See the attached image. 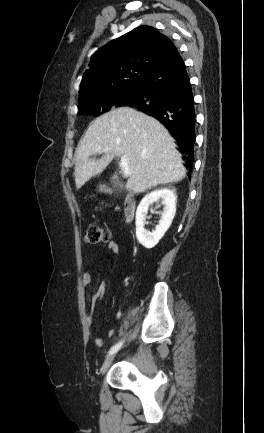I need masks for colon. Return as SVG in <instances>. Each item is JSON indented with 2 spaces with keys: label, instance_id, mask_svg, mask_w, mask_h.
I'll return each mask as SVG.
<instances>
[{
  "label": "colon",
  "instance_id": "1",
  "mask_svg": "<svg viewBox=\"0 0 264 433\" xmlns=\"http://www.w3.org/2000/svg\"><path fill=\"white\" fill-rule=\"evenodd\" d=\"M110 240V234L107 229L99 225H91L85 233V241L88 244H105Z\"/></svg>",
  "mask_w": 264,
  "mask_h": 433
}]
</instances>
